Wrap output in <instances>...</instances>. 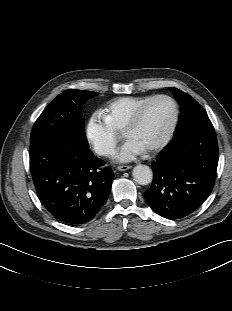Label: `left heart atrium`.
<instances>
[{
	"instance_id": "39dd6f15",
	"label": "left heart atrium",
	"mask_w": 232,
	"mask_h": 311,
	"mask_svg": "<svg viewBox=\"0 0 232 311\" xmlns=\"http://www.w3.org/2000/svg\"><path fill=\"white\" fill-rule=\"evenodd\" d=\"M145 149L134 140H128L117 154V159L122 162L134 160L141 155Z\"/></svg>"
}]
</instances>
